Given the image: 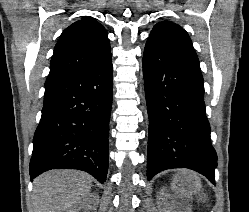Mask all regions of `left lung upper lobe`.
<instances>
[{
	"mask_svg": "<svg viewBox=\"0 0 249 212\" xmlns=\"http://www.w3.org/2000/svg\"><path fill=\"white\" fill-rule=\"evenodd\" d=\"M152 47H159L174 56L199 63L189 35L173 22L162 21L154 26L145 49Z\"/></svg>",
	"mask_w": 249,
	"mask_h": 212,
	"instance_id": "left-lung-upper-lobe-1",
	"label": "left lung upper lobe"
}]
</instances>
